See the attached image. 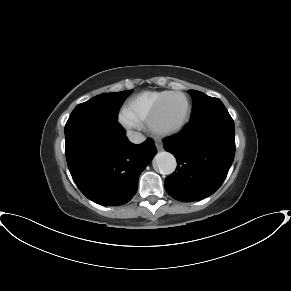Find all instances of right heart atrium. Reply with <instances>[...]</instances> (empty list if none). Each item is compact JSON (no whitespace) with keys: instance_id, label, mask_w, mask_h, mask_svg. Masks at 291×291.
<instances>
[{"instance_id":"1","label":"right heart atrium","mask_w":291,"mask_h":291,"mask_svg":"<svg viewBox=\"0 0 291 291\" xmlns=\"http://www.w3.org/2000/svg\"><path fill=\"white\" fill-rule=\"evenodd\" d=\"M119 122L126 129H133L138 124V122L126 111H122L119 114Z\"/></svg>"}]
</instances>
